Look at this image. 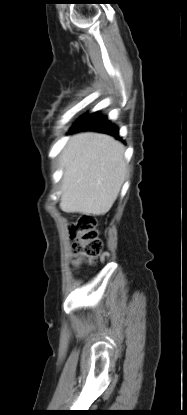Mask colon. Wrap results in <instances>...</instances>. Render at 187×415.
Segmentation results:
<instances>
[{
  "label": "colon",
  "instance_id": "colon-1",
  "mask_svg": "<svg viewBox=\"0 0 187 415\" xmlns=\"http://www.w3.org/2000/svg\"><path fill=\"white\" fill-rule=\"evenodd\" d=\"M74 240L75 257L73 263L76 266L84 261H93L103 249V243L96 229V219L91 215L80 216L70 228Z\"/></svg>",
  "mask_w": 187,
  "mask_h": 415
}]
</instances>
